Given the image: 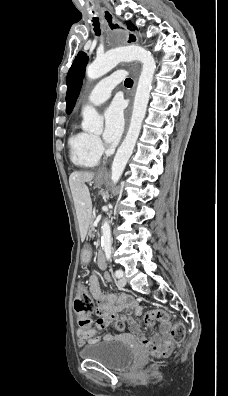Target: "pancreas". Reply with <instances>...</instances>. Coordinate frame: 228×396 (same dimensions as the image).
Returning a JSON list of instances; mask_svg holds the SVG:
<instances>
[{
  "mask_svg": "<svg viewBox=\"0 0 228 396\" xmlns=\"http://www.w3.org/2000/svg\"><path fill=\"white\" fill-rule=\"evenodd\" d=\"M91 218H92V222H93L94 219L96 218V215H95V214H92V215H91ZM93 231H94V226L91 224V225H90L89 232H88V234H89V236H90L91 238L93 237V236H92Z\"/></svg>",
  "mask_w": 228,
  "mask_h": 396,
  "instance_id": "obj_1",
  "label": "pancreas"
}]
</instances>
